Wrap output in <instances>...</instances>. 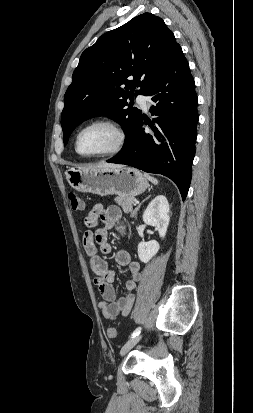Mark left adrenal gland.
<instances>
[{"label": "left adrenal gland", "instance_id": "left-adrenal-gland-1", "mask_svg": "<svg viewBox=\"0 0 253 413\" xmlns=\"http://www.w3.org/2000/svg\"><path fill=\"white\" fill-rule=\"evenodd\" d=\"M147 198H149V196H148ZM147 198H146V199H147ZM146 199H145V200H146ZM145 200H144V201H145ZM140 206H141V203L135 208L134 213H133V216H134V215L136 214V212L139 210Z\"/></svg>", "mask_w": 253, "mask_h": 413}]
</instances>
